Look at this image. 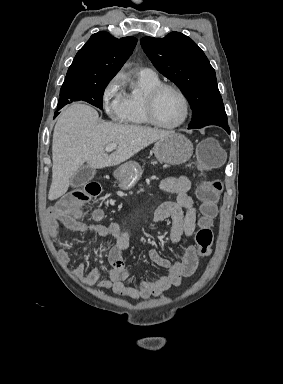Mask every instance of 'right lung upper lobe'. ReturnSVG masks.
<instances>
[{
  "instance_id": "right-lung-upper-lobe-1",
  "label": "right lung upper lobe",
  "mask_w": 283,
  "mask_h": 384,
  "mask_svg": "<svg viewBox=\"0 0 283 384\" xmlns=\"http://www.w3.org/2000/svg\"><path fill=\"white\" fill-rule=\"evenodd\" d=\"M136 43L132 36L117 39L105 31L93 34L76 54L62 87L109 83Z\"/></svg>"
}]
</instances>
